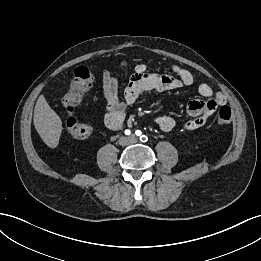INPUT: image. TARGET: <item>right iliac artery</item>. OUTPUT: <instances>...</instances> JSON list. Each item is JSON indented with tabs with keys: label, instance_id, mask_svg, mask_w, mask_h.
<instances>
[{
	"label": "right iliac artery",
	"instance_id": "right-iliac-artery-1",
	"mask_svg": "<svg viewBox=\"0 0 261 261\" xmlns=\"http://www.w3.org/2000/svg\"><path fill=\"white\" fill-rule=\"evenodd\" d=\"M130 133H131L130 130H125L126 135H130Z\"/></svg>",
	"mask_w": 261,
	"mask_h": 261
}]
</instances>
